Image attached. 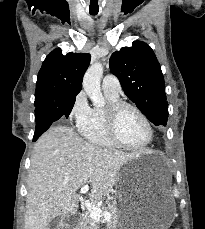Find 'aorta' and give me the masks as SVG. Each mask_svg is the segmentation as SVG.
<instances>
[{"label": "aorta", "mask_w": 205, "mask_h": 229, "mask_svg": "<svg viewBox=\"0 0 205 229\" xmlns=\"http://www.w3.org/2000/svg\"><path fill=\"white\" fill-rule=\"evenodd\" d=\"M103 66L101 63H93L83 77V89L95 107H103L105 100L101 92V78Z\"/></svg>", "instance_id": "762f6f07"}]
</instances>
